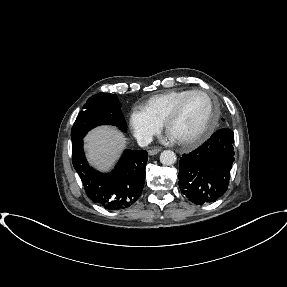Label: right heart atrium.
Listing matches in <instances>:
<instances>
[{
  "label": "right heart atrium",
  "mask_w": 287,
  "mask_h": 287,
  "mask_svg": "<svg viewBox=\"0 0 287 287\" xmlns=\"http://www.w3.org/2000/svg\"><path fill=\"white\" fill-rule=\"evenodd\" d=\"M129 125L134 136L141 143H148L159 132L161 125L152 121L139 109L129 114Z\"/></svg>",
  "instance_id": "1"
}]
</instances>
